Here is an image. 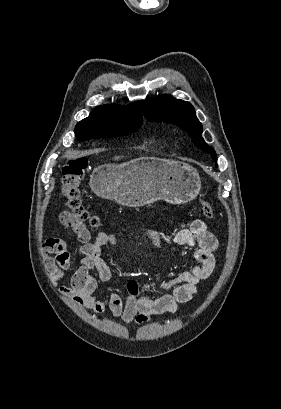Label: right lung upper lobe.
<instances>
[{"label":"right lung upper lobe","mask_w":281,"mask_h":409,"mask_svg":"<svg viewBox=\"0 0 281 409\" xmlns=\"http://www.w3.org/2000/svg\"><path fill=\"white\" fill-rule=\"evenodd\" d=\"M142 113L139 102L127 106L105 105L94 109L90 115L80 121V127H129L142 125Z\"/></svg>","instance_id":"right-lung-upper-lobe-1"}]
</instances>
